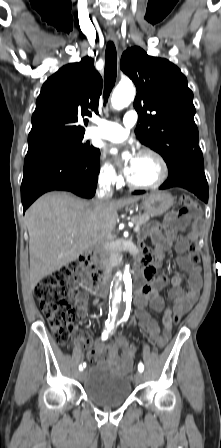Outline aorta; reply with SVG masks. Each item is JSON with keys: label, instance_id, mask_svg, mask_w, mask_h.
Returning <instances> with one entry per match:
<instances>
[{"label": "aorta", "instance_id": "aorta-1", "mask_svg": "<svg viewBox=\"0 0 221 448\" xmlns=\"http://www.w3.org/2000/svg\"><path fill=\"white\" fill-rule=\"evenodd\" d=\"M135 89L131 82L119 83L115 88L111 103L114 109L121 110L128 106L134 99ZM125 156V154H124ZM131 281L130 264L125 266V271L118 274V279L115 282L112 294H113V307L112 310L116 314L123 306V298L125 295V289L128 282Z\"/></svg>", "mask_w": 221, "mask_h": 448}]
</instances>
